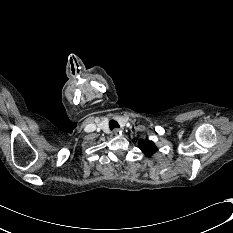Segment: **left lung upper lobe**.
Segmentation results:
<instances>
[{"instance_id": "obj_1", "label": "left lung upper lobe", "mask_w": 233, "mask_h": 233, "mask_svg": "<svg viewBox=\"0 0 233 233\" xmlns=\"http://www.w3.org/2000/svg\"><path fill=\"white\" fill-rule=\"evenodd\" d=\"M139 147L148 157H150L157 150L155 144L149 140H141L139 142Z\"/></svg>"}]
</instances>
